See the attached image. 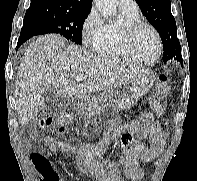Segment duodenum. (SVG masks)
<instances>
[{
  "instance_id": "410a0bca",
  "label": "duodenum",
  "mask_w": 197,
  "mask_h": 181,
  "mask_svg": "<svg viewBox=\"0 0 197 181\" xmlns=\"http://www.w3.org/2000/svg\"><path fill=\"white\" fill-rule=\"evenodd\" d=\"M73 107H74V110L79 112L83 109L84 107V104L83 102L79 101V100H76L74 103H73Z\"/></svg>"
}]
</instances>
